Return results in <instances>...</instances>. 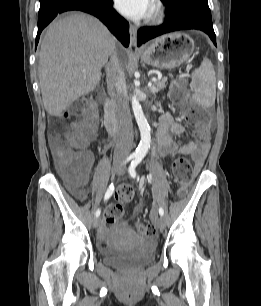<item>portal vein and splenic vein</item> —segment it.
<instances>
[{
	"mask_svg": "<svg viewBox=\"0 0 261 306\" xmlns=\"http://www.w3.org/2000/svg\"><path fill=\"white\" fill-rule=\"evenodd\" d=\"M154 81H156V80H154ZM148 86H149L150 88H152V84H151V83H149Z\"/></svg>",
	"mask_w": 261,
	"mask_h": 306,
	"instance_id": "portal-vein-and-splenic-vein-1",
	"label": "portal vein and splenic vein"
}]
</instances>
